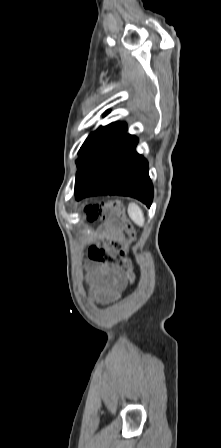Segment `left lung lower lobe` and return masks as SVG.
I'll list each match as a JSON object with an SVG mask.
<instances>
[{
    "label": "left lung lower lobe",
    "mask_w": 221,
    "mask_h": 448,
    "mask_svg": "<svg viewBox=\"0 0 221 448\" xmlns=\"http://www.w3.org/2000/svg\"><path fill=\"white\" fill-rule=\"evenodd\" d=\"M137 142L133 136L93 165L79 169L75 181L76 200L94 195H123L137 198L150 207L153 186L148 162L135 151Z\"/></svg>",
    "instance_id": "left-lung-lower-lobe-1"
}]
</instances>
